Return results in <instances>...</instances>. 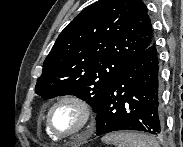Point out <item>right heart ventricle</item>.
I'll return each mask as SVG.
<instances>
[{
    "label": "right heart ventricle",
    "mask_w": 183,
    "mask_h": 147,
    "mask_svg": "<svg viewBox=\"0 0 183 147\" xmlns=\"http://www.w3.org/2000/svg\"><path fill=\"white\" fill-rule=\"evenodd\" d=\"M47 134L49 135V137H50L51 139L56 140V138H55L54 136L51 135V133L48 131V129H47Z\"/></svg>",
    "instance_id": "e07e8e85"
}]
</instances>
